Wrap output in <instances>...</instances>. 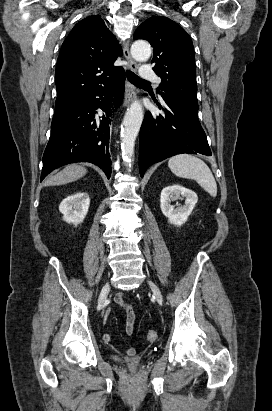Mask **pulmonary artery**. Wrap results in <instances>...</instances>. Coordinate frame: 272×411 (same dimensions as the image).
<instances>
[{
	"mask_svg": "<svg viewBox=\"0 0 272 411\" xmlns=\"http://www.w3.org/2000/svg\"><path fill=\"white\" fill-rule=\"evenodd\" d=\"M140 77L144 80H158L156 72L149 65L142 67Z\"/></svg>",
	"mask_w": 272,
	"mask_h": 411,
	"instance_id": "obj_1",
	"label": "pulmonary artery"
}]
</instances>
